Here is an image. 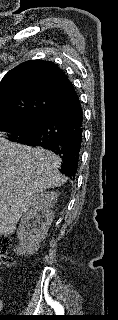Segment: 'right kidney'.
<instances>
[{"label":"right kidney","instance_id":"right-kidney-1","mask_svg":"<svg viewBox=\"0 0 118 320\" xmlns=\"http://www.w3.org/2000/svg\"><path fill=\"white\" fill-rule=\"evenodd\" d=\"M57 199V192L43 191L35 198L30 208L24 211L17 230L21 253L33 254L46 238L55 216L53 206Z\"/></svg>","mask_w":118,"mask_h":320}]
</instances>
